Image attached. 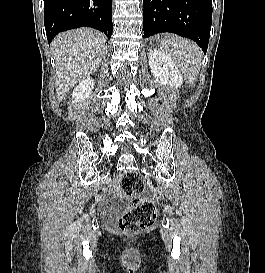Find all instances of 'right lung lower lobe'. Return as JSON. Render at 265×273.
<instances>
[{
  "label": "right lung lower lobe",
  "instance_id": "obj_1",
  "mask_svg": "<svg viewBox=\"0 0 265 273\" xmlns=\"http://www.w3.org/2000/svg\"><path fill=\"white\" fill-rule=\"evenodd\" d=\"M112 0H44L45 29L48 42L60 32L91 27L112 35Z\"/></svg>",
  "mask_w": 265,
  "mask_h": 273
}]
</instances>
